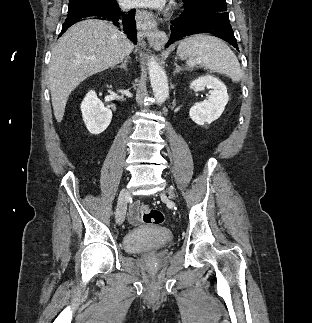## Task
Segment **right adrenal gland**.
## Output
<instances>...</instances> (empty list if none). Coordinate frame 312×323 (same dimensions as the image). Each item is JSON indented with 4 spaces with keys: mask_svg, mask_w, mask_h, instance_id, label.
<instances>
[{
    "mask_svg": "<svg viewBox=\"0 0 312 323\" xmlns=\"http://www.w3.org/2000/svg\"><path fill=\"white\" fill-rule=\"evenodd\" d=\"M128 60H129V58H126V60H124L123 64H121V66H117V68H124V70H127Z\"/></svg>",
    "mask_w": 312,
    "mask_h": 323,
    "instance_id": "right-adrenal-gland-1",
    "label": "right adrenal gland"
}]
</instances>
